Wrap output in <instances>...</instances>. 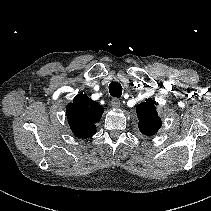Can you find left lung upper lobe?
Instances as JSON below:
<instances>
[{
    "label": "left lung upper lobe",
    "instance_id": "1",
    "mask_svg": "<svg viewBox=\"0 0 211 211\" xmlns=\"http://www.w3.org/2000/svg\"><path fill=\"white\" fill-rule=\"evenodd\" d=\"M156 102L148 99L137 105V115L139 118V130L147 136L154 135L161 127L162 121L157 114Z\"/></svg>",
    "mask_w": 211,
    "mask_h": 211
}]
</instances>
